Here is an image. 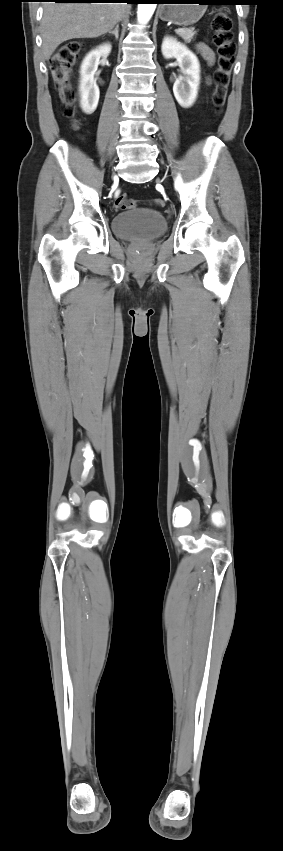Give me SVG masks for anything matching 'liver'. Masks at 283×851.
I'll list each match as a JSON object with an SVG mask.
<instances>
[{
	"label": "liver",
	"mask_w": 283,
	"mask_h": 851,
	"mask_svg": "<svg viewBox=\"0 0 283 851\" xmlns=\"http://www.w3.org/2000/svg\"><path fill=\"white\" fill-rule=\"evenodd\" d=\"M43 8V58L49 60L56 48L67 40L96 38L113 29L129 6L121 3L47 2Z\"/></svg>",
	"instance_id": "obj_1"
}]
</instances>
